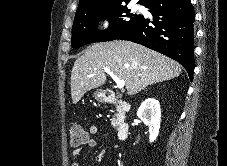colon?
I'll return each mask as SVG.
<instances>
[{"mask_svg":"<svg viewBox=\"0 0 227 166\" xmlns=\"http://www.w3.org/2000/svg\"><path fill=\"white\" fill-rule=\"evenodd\" d=\"M68 138L70 145L73 147L88 144L90 141L89 134L77 125L68 128Z\"/></svg>","mask_w":227,"mask_h":166,"instance_id":"1","label":"colon"}]
</instances>
